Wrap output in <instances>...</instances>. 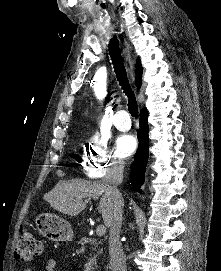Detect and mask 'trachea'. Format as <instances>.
<instances>
[{"instance_id":"3493384b","label":"trachea","mask_w":221,"mask_h":271,"mask_svg":"<svg viewBox=\"0 0 221 271\" xmlns=\"http://www.w3.org/2000/svg\"><path fill=\"white\" fill-rule=\"evenodd\" d=\"M109 54L111 55L112 63L115 68L116 77L124 90L125 95L128 97V111L134 118H138V104L136 97L130 83L127 78V73L123 63V57L121 56V50L119 48V42L117 37L114 36L109 44Z\"/></svg>"}]
</instances>
